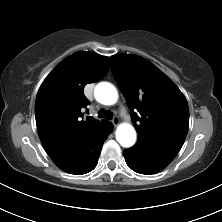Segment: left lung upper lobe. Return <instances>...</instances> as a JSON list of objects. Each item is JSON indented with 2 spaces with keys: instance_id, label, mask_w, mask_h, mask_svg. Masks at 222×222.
Listing matches in <instances>:
<instances>
[{
  "instance_id": "left-lung-upper-lobe-1",
  "label": "left lung upper lobe",
  "mask_w": 222,
  "mask_h": 222,
  "mask_svg": "<svg viewBox=\"0 0 222 222\" xmlns=\"http://www.w3.org/2000/svg\"><path fill=\"white\" fill-rule=\"evenodd\" d=\"M138 133L130 153L165 168L178 154L189 127L185 96L156 66L128 54L110 57Z\"/></svg>"
}]
</instances>
